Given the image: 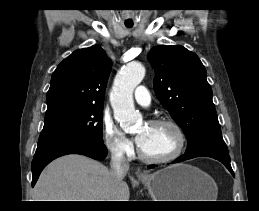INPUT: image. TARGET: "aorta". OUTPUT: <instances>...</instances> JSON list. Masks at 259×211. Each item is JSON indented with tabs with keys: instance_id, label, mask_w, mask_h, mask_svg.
<instances>
[{
	"instance_id": "obj_1",
	"label": "aorta",
	"mask_w": 259,
	"mask_h": 211,
	"mask_svg": "<svg viewBox=\"0 0 259 211\" xmlns=\"http://www.w3.org/2000/svg\"><path fill=\"white\" fill-rule=\"evenodd\" d=\"M144 76V66L132 62L123 67L115 77L110 100L114 116L124 131L133 130L141 120V114L134 108L133 91Z\"/></svg>"
}]
</instances>
